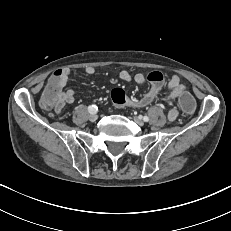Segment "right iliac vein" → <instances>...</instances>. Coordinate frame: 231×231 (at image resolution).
Segmentation results:
<instances>
[{
  "label": "right iliac vein",
  "mask_w": 231,
  "mask_h": 231,
  "mask_svg": "<svg viewBox=\"0 0 231 231\" xmlns=\"http://www.w3.org/2000/svg\"><path fill=\"white\" fill-rule=\"evenodd\" d=\"M88 118L91 122H95L98 116L96 114H90Z\"/></svg>",
  "instance_id": "obj_1"
}]
</instances>
